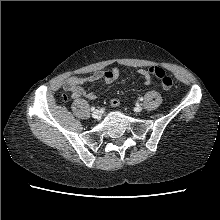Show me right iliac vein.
I'll use <instances>...</instances> for the list:
<instances>
[{
  "label": "right iliac vein",
  "instance_id": "1",
  "mask_svg": "<svg viewBox=\"0 0 220 220\" xmlns=\"http://www.w3.org/2000/svg\"><path fill=\"white\" fill-rule=\"evenodd\" d=\"M92 117L96 120H98L100 117H101V113L98 111V110H95L93 113H92Z\"/></svg>",
  "mask_w": 220,
  "mask_h": 220
}]
</instances>
